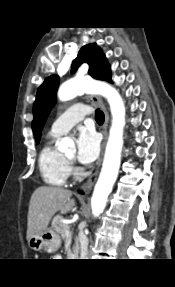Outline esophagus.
Instances as JSON below:
<instances>
[{
    "label": "esophagus",
    "mask_w": 175,
    "mask_h": 287,
    "mask_svg": "<svg viewBox=\"0 0 175 287\" xmlns=\"http://www.w3.org/2000/svg\"><path fill=\"white\" fill-rule=\"evenodd\" d=\"M91 100L93 103L97 104L103 111L105 119H104V123L100 128V131L103 135V142H102V152H101V157L98 160L97 163V168L96 170L92 173V175L87 179V181L81 186V189L84 191H88L90 190L93 185L95 184L98 174H99V170H100V166H101V162H102V157H103V152H104V148H105V144L107 141V128H108V124H109V114H108V110L104 104V102L102 101V99L97 96V95H92L91 96Z\"/></svg>",
    "instance_id": "esophagus-1"
}]
</instances>
